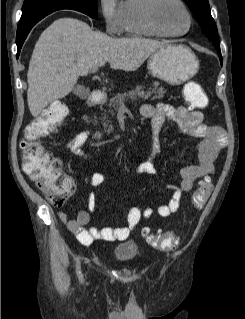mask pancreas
Here are the masks:
<instances>
[{"label": "pancreas", "mask_w": 245, "mask_h": 319, "mask_svg": "<svg viewBox=\"0 0 245 319\" xmlns=\"http://www.w3.org/2000/svg\"><path fill=\"white\" fill-rule=\"evenodd\" d=\"M149 92L154 94L153 99H161L164 97V94L166 93V90L164 87L160 86V83L158 81H155L152 83V87L149 88ZM145 92H144V86L139 85L136 86L134 89L124 92L122 94H117L114 97H112L109 101V103L106 104V106L109 108L108 111H104V116L102 117L103 119V127L105 132H113L114 128L111 124L110 120H106L107 114H111L112 116L115 115L114 111L119 110V105L125 101V100H136L138 97H144Z\"/></svg>", "instance_id": "obj_1"}]
</instances>
